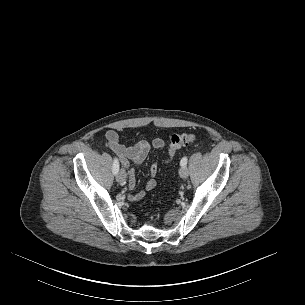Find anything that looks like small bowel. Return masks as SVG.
<instances>
[{
  "mask_svg": "<svg viewBox=\"0 0 305 305\" xmlns=\"http://www.w3.org/2000/svg\"><path fill=\"white\" fill-rule=\"evenodd\" d=\"M105 139L107 146L110 150H112L121 161L124 167H128L129 161L133 162L135 165H140L144 162L147 155L149 154L151 148L155 149H163L165 147V142L161 138H155L151 142L146 140H141L132 146H127L120 142L119 135L114 130H108L105 133ZM159 166L158 163L155 161L150 166V174L151 176H156L158 173ZM129 180L128 186L131 190H133L136 186V177L134 169L128 170ZM156 187V181L154 179L149 180L145 188L136 194L130 195V201H138L144 198L148 191H151Z\"/></svg>",
  "mask_w": 305,
  "mask_h": 305,
  "instance_id": "1",
  "label": "small bowel"
}]
</instances>
